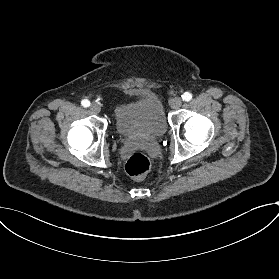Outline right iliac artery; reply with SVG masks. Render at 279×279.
Returning a JSON list of instances; mask_svg holds the SVG:
<instances>
[{"mask_svg": "<svg viewBox=\"0 0 279 279\" xmlns=\"http://www.w3.org/2000/svg\"><path fill=\"white\" fill-rule=\"evenodd\" d=\"M81 104H82L83 107H89L90 106V101L85 99V100H82Z\"/></svg>", "mask_w": 279, "mask_h": 279, "instance_id": "82829eb1", "label": "right iliac artery"}]
</instances>
